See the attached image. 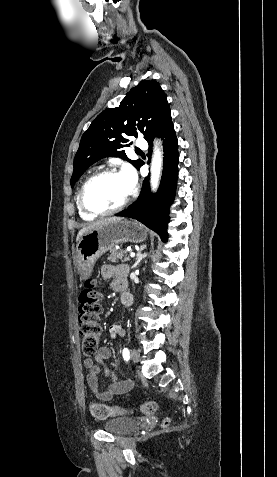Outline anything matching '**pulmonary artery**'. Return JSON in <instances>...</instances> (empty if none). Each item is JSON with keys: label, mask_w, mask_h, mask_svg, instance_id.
Masks as SVG:
<instances>
[{"label": "pulmonary artery", "mask_w": 277, "mask_h": 477, "mask_svg": "<svg viewBox=\"0 0 277 477\" xmlns=\"http://www.w3.org/2000/svg\"><path fill=\"white\" fill-rule=\"evenodd\" d=\"M136 146L139 148V149H146L147 148V142L143 139H139L136 143Z\"/></svg>", "instance_id": "obj_1"}]
</instances>
